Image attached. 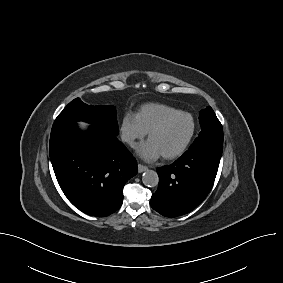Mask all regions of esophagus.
<instances>
[{"label":"esophagus","mask_w":283,"mask_h":283,"mask_svg":"<svg viewBox=\"0 0 283 283\" xmlns=\"http://www.w3.org/2000/svg\"><path fill=\"white\" fill-rule=\"evenodd\" d=\"M147 169H148L147 166H144L142 164H138V171H139V173H142V172L146 171Z\"/></svg>","instance_id":"esophagus-1"}]
</instances>
